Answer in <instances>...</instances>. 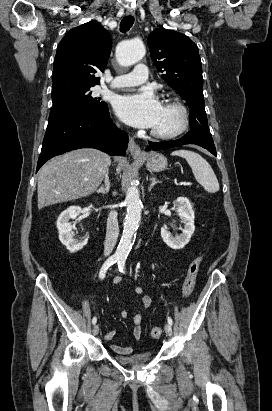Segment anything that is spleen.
<instances>
[{
    "mask_svg": "<svg viewBox=\"0 0 272 411\" xmlns=\"http://www.w3.org/2000/svg\"><path fill=\"white\" fill-rule=\"evenodd\" d=\"M171 155L185 158L192 169L195 179L207 192L215 193L219 191V183L213 169L200 154L182 149L173 151Z\"/></svg>",
    "mask_w": 272,
    "mask_h": 411,
    "instance_id": "obj_1",
    "label": "spleen"
}]
</instances>
